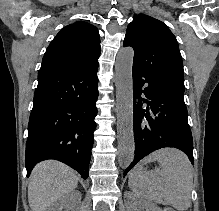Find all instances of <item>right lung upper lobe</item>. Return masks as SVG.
Segmentation results:
<instances>
[{"instance_id": "obj_1", "label": "right lung upper lobe", "mask_w": 219, "mask_h": 211, "mask_svg": "<svg viewBox=\"0 0 219 211\" xmlns=\"http://www.w3.org/2000/svg\"><path fill=\"white\" fill-rule=\"evenodd\" d=\"M100 38L96 27L86 22L65 26L48 46L40 70L87 68L98 64Z\"/></svg>"}]
</instances>
